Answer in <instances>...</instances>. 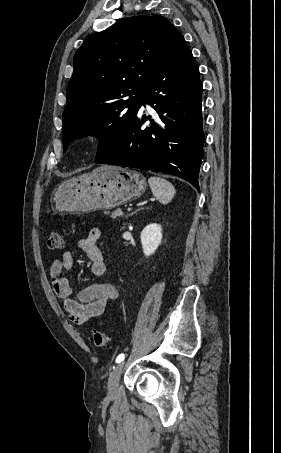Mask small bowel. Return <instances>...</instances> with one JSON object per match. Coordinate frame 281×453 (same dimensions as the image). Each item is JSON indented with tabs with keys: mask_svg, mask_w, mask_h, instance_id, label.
<instances>
[{
	"mask_svg": "<svg viewBox=\"0 0 281 453\" xmlns=\"http://www.w3.org/2000/svg\"><path fill=\"white\" fill-rule=\"evenodd\" d=\"M100 237V228L94 227L78 242L80 251L90 259L89 272L95 277L103 276L106 272L104 255L97 246ZM74 267L73 254L65 252L61 258L53 261L48 276L54 284L55 293L63 299L64 311L69 318L77 325H85L102 315L107 306L119 298V292L112 285H94L80 289L77 297L71 298V286L63 273L73 272Z\"/></svg>",
	"mask_w": 281,
	"mask_h": 453,
	"instance_id": "1",
	"label": "small bowel"
}]
</instances>
